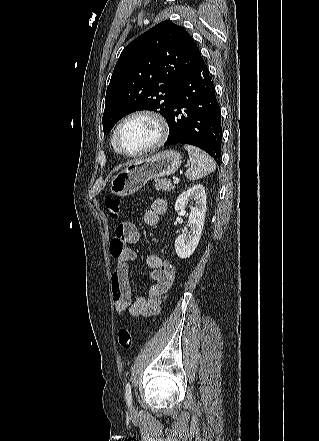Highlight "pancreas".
I'll return each mask as SVG.
<instances>
[{
	"instance_id": "pancreas-1",
	"label": "pancreas",
	"mask_w": 319,
	"mask_h": 441,
	"mask_svg": "<svg viewBox=\"0 0 319 441\" xmlns=\"http://www.w3.org/2000/svg\"><path fill=\"white\" fill-rule=\"evenodd\" d=\"M155 188L156 190H163L165 192H169L175 188L174 185L170 181L166 179H156L155 180Z\"/></svg>"
}]
</instances>
